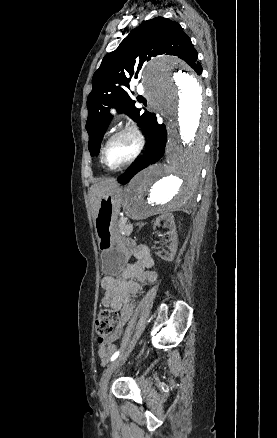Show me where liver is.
Instances as JSON below:
<instances>
[{
	"label": "liver",
	"instance_id": "6515ba94",
	"mask_svg": "<svg viewBox=\"0 0 277 438\" xmlns=\"http://www.w3.org/2000/svg\"><path fill=\"white\" fill-rule=\"evenodd\" d=\"M113 188H117V184L115 180H107V182H101V184H95L91 188V196H92V208H93V216H97L98 204L100 202V198L104 196V194H108L111 192Z\"/></svg>",
	"mask_w": 277,
	"mask_h": 438
}]
</instances>
